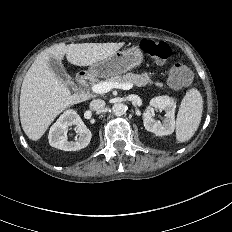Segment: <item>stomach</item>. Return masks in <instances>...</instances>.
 <instances>
[{"label": "stomach", "instance_id": "stomach-1", "mask_svg": "<svg viewBox=\"0 0 232 232\" xmlns=\"http://www.w3.org/2000/svg\"><path fill=\"white\" fill-rule=\"evenodd\" d=\"M143 53L137 46L116 51L107 59L90 66L88 73L95 77H111L125 73L141 64Z\"/></svg>", "mask_w": 232, "mask_h": 232}]
</instances>
